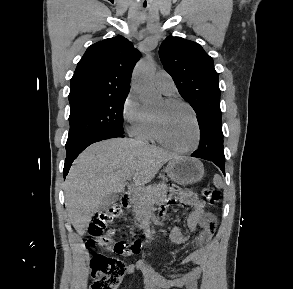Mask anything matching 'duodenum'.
Here are the masks:
<instances>
[{"mask_svg":"<svg viewBox=\"0 0 293 289\" xmlns=\"http://www.w3.org/2000/svg\"><path fill=\"white\" fill-rule=\"evenodd\" d=\"M131 203V195L128 192H125L121 195L120 205L123 209H127Z\"/></svg>","mask_w":293,"mask_h":289,"instance_id":"obj_1","label":"duodenum"}]
</instances>
